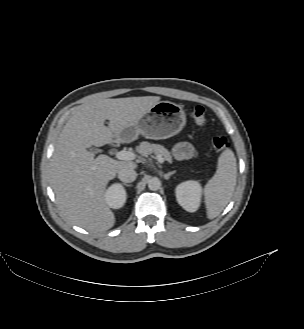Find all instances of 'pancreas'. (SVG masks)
Segmentation results:
<instances>
[{
    "label": "pancreas",
    "mask_w": 304,
    "mask_h": 329,
    "mask_svg": "<svg viewBox=\"0 0 304 329\" xmlns=\"http://www.w3.org/2000/svg\"><path fill=\"white\" fill-rule=\"evenodd\" d=\"M136 151L141 154L142 156L147 157L148 155L155 153L159 154L163 157L165 161L168 163L172 162V156L170 152L162 145L159 144H153L147 141H143L139 144Z\"/></svg>",
    "instance_id": "obj_1"
}]
</instances>
